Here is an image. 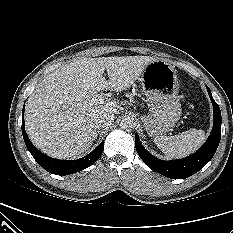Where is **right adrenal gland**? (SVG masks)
I'll return each mask as SVG.
<instances>
[{"label":"right adrenal gland","mask_w":233,"mask_h":233,"mask_svg":"<svg viewBox=\"0 0 233 233\" xmlns=\"http://www.w3.org/2000/svg\"><path fill=\"white\" fill-rule=\"evenodd\" d=\"M99 131H96L95 139H97Z\"/></svg>","instance_id":"obj_1"}]
</instances>
